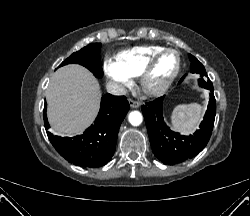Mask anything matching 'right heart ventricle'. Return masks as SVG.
<instances>
[{
	"instance_id": "obj_1",
	"label": "right heart ventricle",
	"mask_w": 250,
	"mask_h": 216,
	"mask_svg": "<svg viewBox=\"0 0 250 216\" xmlns=\"http://www.w3.org/2000/svg\"><path fill=\"white\" fill-rule=\"evenodd\" d=\"M162 49L160 45L137 46L120 52L116 62L130 77H138L148 60Z\"/></svg>"
}]
</instances>
